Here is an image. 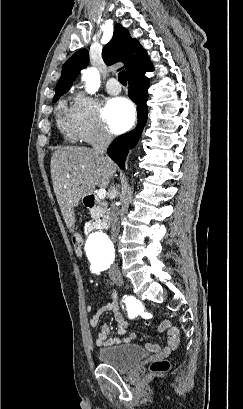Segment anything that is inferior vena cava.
<instances>
[{
	"label": "inferior vena cava",
	"mask_w": 243,
	"mask_h": 409,
	"mask_svg": "<svg viewBox=\"0 0 243 409\" xmlns=\"http://www.w3.org/2000/svg\"><path fill=\"white\" fill-rule=\"evenodd\" d=\"M111 141H112V136L105 131H101L92 142V147H93L94 152L103 156L109 144L111 143ZM110 190H111V194L115 198L117 195V190L115 188V185L111 186ZM110 215H111L110 221H111L112 240L115 241L119 233V211L115 204V201H113L111 204ZM113 269H117V265H114Z\"/></svg>",
	"instance_id": "1"
}]
</instances>
